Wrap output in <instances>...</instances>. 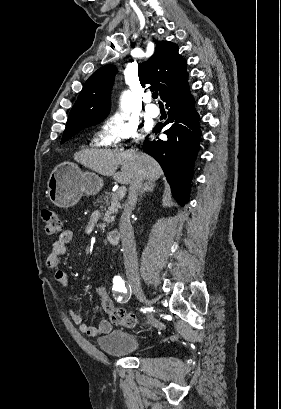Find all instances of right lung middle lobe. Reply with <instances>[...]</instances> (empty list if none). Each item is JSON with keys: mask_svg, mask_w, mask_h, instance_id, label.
Instances as JSON below:
<instances>
[{"mask_svg": "<svg viewBox=\"0 0 281 409\" xmlns=\"http://www.w3.org/2000/svg\"><path fill=\"white\" fill-rule=\"evenodd\" d=\"M102 120H103V119L98 120V121H96V122H94V123H91V124H88V125L80 126V127H67V128L65 129L64 133H63V137H62L61 143H64L65 141H67L68 139H70L73 135H75L76 133H78L80 130H82V129L86 128V127L95 125V124L101 122Z\"/></svg>", "mask_w": 281, "mask_h": 409, "instance_id": "right-lung-middle-lobe-1", "label": "right lung middle lobe"}]
</instances>
